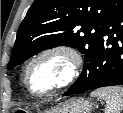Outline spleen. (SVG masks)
<instances>
[{
	"label": "spleen",
	"instance_id": "spleen-1",
	"mask_svg": "<svg viewBox=\"0 0 123 113\" xmlns=\"http://www.w3.org/2000/svg\"><path fill=\"white\" fill-rule=\"evenodd\" d=\"M106 102L105 113H120L123 110V87L112 86L97 89L91 93Z\"/></svg>",
	"mask_w": 123,
	"mask_h": 113
}]
</instances>
